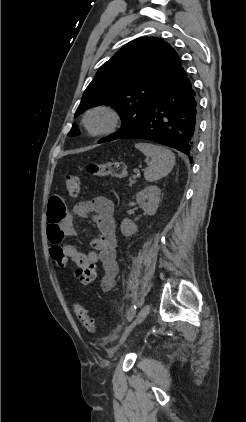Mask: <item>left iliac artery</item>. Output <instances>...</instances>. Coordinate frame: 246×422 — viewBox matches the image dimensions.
<instances>
[{
  "label": "left iliac artery",
  "mask_w": 246,
  "mask_h": 422,
  "mask_svg": "<svg viewBox=\"0 0 246 422\" xmlns=\"http://www.w3.org/2000/svg\"><path fill=\"white\" fill-rule=\"evenodd\" d=\"M136 309H137V307H136V305L134 304V305H132L130 308H129V311H128V315H127V319H128V321H131L132 319H133V317L135 316V314H136Z\"/></svg>",
  "instance_id": "left-iliac-artery-1"
}]
</instances>
